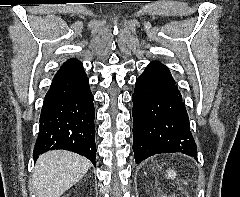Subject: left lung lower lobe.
Masks as SVG:
<instances>
[{
  "label": "left lung lower lobe",
  "instance_id": "left-lung-lower-lobe-1",
  "mask_svg": "<svg viewBox=\"0 0 240 197\" xmlns=\"http://www.w3.org/2000/svg\"><path fill=\"white\" fill-rule=\"evenodd\" d=\"M132 101L136 163L170 152L187 154L197 160L187 111L167 68L148 66L136 81Z\"/></svg>",
  "mask_w": 240,
  "mask_h": 197
}]
</instances>
